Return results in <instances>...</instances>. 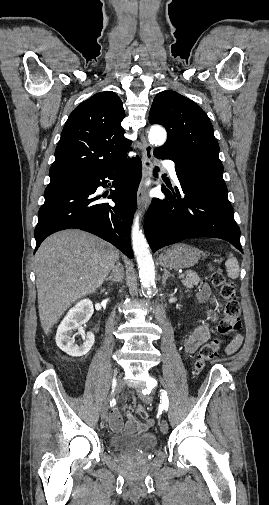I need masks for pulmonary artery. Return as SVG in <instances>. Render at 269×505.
Segmentation results:
<instances>
[{
    "mask_svg": "<svg viewBox=\"0 0 269 505\" xmlns=\"http://www.w3.org/2000/svg\"><path fill=\"white\" fill-rule=\"evenodd\" d=\"M164 166L167 169V171H168L171 179L174 180V181H176L177 180V173H176V169H175L174 163L171 162V161H166L164 163Z\"/></svg>",
    "mask_w": 269,
    "mask_h": 505,
    "instance_id": "e3ab8cb5",
    "label": "pulmonary artery"
}]
</instances>
